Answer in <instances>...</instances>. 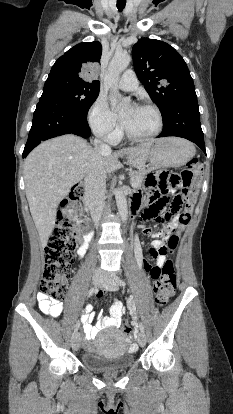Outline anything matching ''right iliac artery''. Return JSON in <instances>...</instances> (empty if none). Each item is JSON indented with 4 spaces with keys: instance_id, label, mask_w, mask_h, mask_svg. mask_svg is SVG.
I'll return each instance as SVG.
<instances>
[{
    "instance_id": "82829eb1",
    "label": "right iliac artery",
    "mask_w": 233,
    "mask_h": 414,
    "mask_svg": "<svg viewBox=\"0 0 233 414\" xmlns=\"http://www.w3.org/2000/svg\"><path fill=\"white\" fill-rule=\"evenodd\" d=\"M140 251V247L136 244V246H135V252H136V254L138 253ZM97 292V287L96 286H94V287H92L90 290H89V292H88V296H91V295H93L94 293H96ZM79 327H80V322L78 321L76 324H75V327H74V332H76L78 329H79Z\"/></svg>"
}]
</instances>
